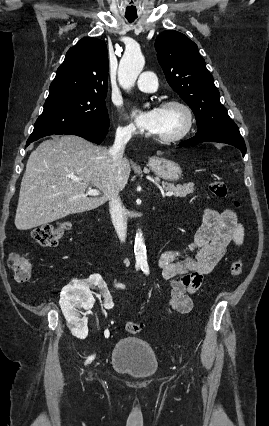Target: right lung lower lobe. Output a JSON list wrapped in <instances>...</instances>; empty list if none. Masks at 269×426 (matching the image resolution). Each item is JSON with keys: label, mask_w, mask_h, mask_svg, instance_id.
<instances>
[{"label": "right lung lower lobe", "mask_w": 269, "mask_h": 426, "mask_svg": "<svg viewBox=\"0 0 269 426\" xmlns=\"http://www.w3.org/2000/svg\"><path fill=\"white\" fill-rule=\"evenodd\" d=\"M108 131V128H96L93 126H81L75 129H71L65 132H60V133H56V134H72V135H77L80 137H83L89 141H92L94 143H100L102 142V140L104 139V137L106 136ZM36 141V140H35ZM33 140H28L26 143V146H28L30 143H32Z\"/></svg>", "instance_id": "98d812e1"}]
</instances>
